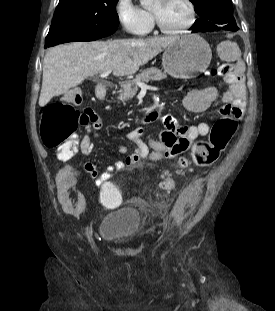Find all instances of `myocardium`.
Returning a JSON list of instances; mask_svg holds the SVG:
<instances>
[{
    "mask_svg": "<svg viewBox=\"0 0 275 311\" xmlns=\"http://www.w3.org/2000/svg\"><path fill=\"white\" fill-rule=\"evenodd\" d=\"M184 2L187 4L188 9H189V14H190L189 20L185 25H183L182 27L177 28V29L166 28L162 24V22L160 21L157 13L155 11L151 10V15H152L154 24L161 33H163L165 35H177V34H181V33L186 32L187 30H189L193 26V24L196 21V16H197L195 4H194L193 0H184Z\"/></svg>",
    "mask_w": 275,
    "mask_h": 311,
    "instance_id": "f54148a6",
    "label": "myocardium"
}]
</instances>
